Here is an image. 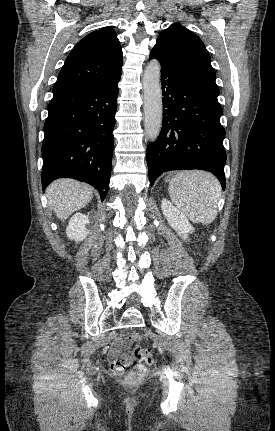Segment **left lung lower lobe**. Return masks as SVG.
<instances>
[{
    "label": "left lung lower lobe",
    "mask_w": 275,
    "mask_h": 431,
    "mask_svg": "<svg viewBox=\"0 0 275 431\" xmlns=\"http://www.w3.org/2000/svg\"><path fill=\"white\" fill-rule=\"evenodd\" d=\"M150 58L161 64L164 96L162 129L147 148L150 185L166 171L201 169L214 174L225 189L222 107L155 51Z\"/></svg>",
    "instance_id": "1"
}]
</instances>
